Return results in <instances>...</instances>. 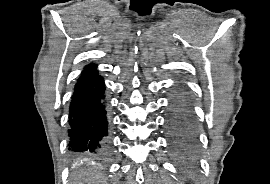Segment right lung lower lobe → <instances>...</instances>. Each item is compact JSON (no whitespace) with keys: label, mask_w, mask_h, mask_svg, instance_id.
<instances>
[{"label":"right lung lower lobe","mask_w":270,"mask_h":184,"mask_svg":"<svg viewBox=\"0 0 270 184\" xmlns=\"http://www.w3.org/2000/svg\"><path fill=\"white\" fill-rule=\"evenodd\" d=\"M96 67L84 68L69 108L68 149L88 157L105 156L108 140L105 85Z\"/></svg>","instance_id":"obj_1"}]
</instances>
